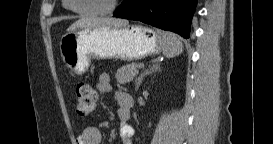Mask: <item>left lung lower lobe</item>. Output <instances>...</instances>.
<instances>
[{
    "label": "left lung lower lobe",
    "instance_id": "1",
    "mask_svg": "<svg viewBox=\"0 0 273 144\" xmlns=\"http://www.w3.org/2000/svg\"><path fill=\"white\" fill-rule=\"evenodd\" d=\"M196 3L197 0H124L114 16L138 20L189 38Z\"/></svg>",
    "mask_w": 273,
    "mask_h": 144
}]
</instances>
